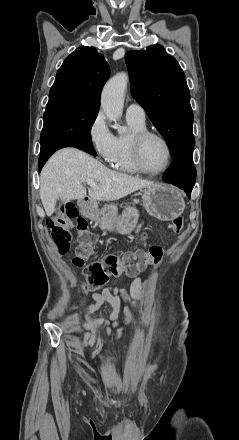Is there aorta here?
I'll return each mask as SVG.
<instances>
[{
	"label": "aorta",
	"mask_w": 239,
	"mask_h": 440,
	"mask_svg": "<svg viewBox=\"0 0 239 440\" xmlns=\"http://www.w3.org/2000/svg\"><path fill=\"white\" fill-rule=\"evenodd\" d=\"M129 76L125 72L116 74L105 84L101 94V108L108 120H118L123 114L125 92ZM119 134H126V126H121Z\"/></svg>",
	"instance_id": "1"
}]
</instances>
